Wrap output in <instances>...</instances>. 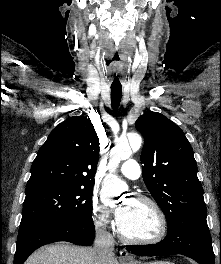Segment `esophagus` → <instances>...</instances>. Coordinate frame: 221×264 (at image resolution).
<instances>
[{"instance_id": "esophagus-1", "label": "esophagus", "mask_w": 221, "mask_h": 264, "mask_svg": "<svg viewBox=\"0 0 221 264\" xmlns=\"http://www.w3.org/2000/svg\"><path fill=\"white\" fill-rule=\"evenodd\" d=\"M120 259L123 262H131L133 260V257L129 254L126 249H122L120 252Z\"/></svg>"}]
</instances>
